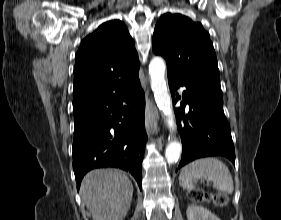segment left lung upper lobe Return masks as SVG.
<instances>
[{
	"label": "left lung upper lobe",
	"instance_id": "left-lung-upper-lobe-1",
	"mask_svg": "<svg viewBox=\"0 0 281 220\" xmlns=\"http://www.w3.org/2000/svg\"><path fill=\"white\" fill-rule=\"evenodd\" d=\"M152 50L166 60L168 77L199 84L223 99L215 50L200 23L181 14L162 15Z\"/></svg>",
	"mask_w": 281,
	"mask_h": 220
}]
</instances>
